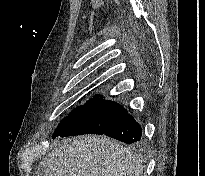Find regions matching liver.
Instances as JSON below:
<instances>
[{"label":"liver","mask_w":205,"mask_h":176,"mask_svg":"<svg viewBox=\"0 0 205 176\" xmlns=\"http://www.w3.org/2000/svg\"><path fill=\"white\" fill-rule=\"evenodd\" d=\"M40 167L45 176H143L142 160L106 136L64 138Z\"/></svg>","instance_id":"6515ba94"}]
</instances>
